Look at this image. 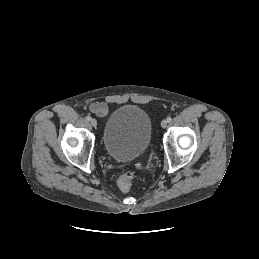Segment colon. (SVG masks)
<instances>
[{
	"instance_id": "1",
	"label": "colon",
	"mask_w": 259,
	"mask_h": 259,
	"mask_svg": "<svg viewBox=\"0 0 259 259\" xmlns=\"http://www.w3.org/2000/svg\"><path fill=\"white\" fill-rule=\"evenodd\" d=\"M134 177L133 173L126 172L118 178L117 185L122 193H128L130 191Z\"/></svg>"
}]
</instances>
